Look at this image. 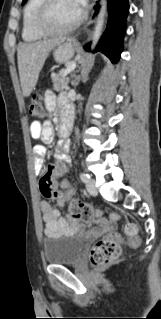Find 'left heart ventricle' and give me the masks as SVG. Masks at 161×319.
<instances>
[{"mask_svg": "<svg viewBox=\"0 0 161 319\" xmlns=\"http://www.w3.org/2000/svg\"><path fill=\"white\" fill-rule=\"evenodd\" d=\"M80 11L76 0H56L49 15V24L56 29L64 28L78 17Z\"/></svg>", "mask_w": 161, "mask_h": 319, "instance_id": "1", "label": "left heart ventricle"}]
</instances>
